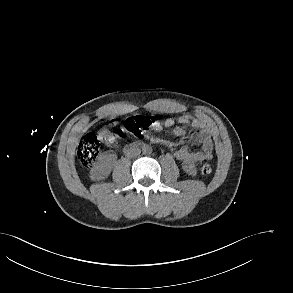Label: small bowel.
<instances>
[{
    "label": "small bowel",
    "mask_w": 293,
    "mask_h": 293,
    "mask_svg": "<svg viewBox=\"0 0 293 293\" xmlns=\"http://www.w3.org/2000/svg\"><path fill=\"white\" fill-rule=\"evenodd\" d=\"M188 127L196 129V132L187 138L182 147L174 151V156L178 160L187 163L211 160L213 158V141L205 128V123L201 119L188 115L180 116L177 119L167 118L162 123H159L155 130L173 128V134L180 137L186 135ZM190 145H200L201 150L191 152L189 150Z\"/></svg>",
    "instance_id": "small-bowel-1"
}]
</instances>
